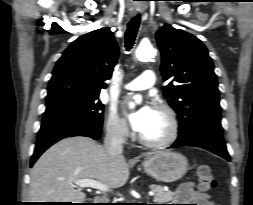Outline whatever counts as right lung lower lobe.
<instances>
[{
    "label": "right lung lower lobe",
    "instance_id": "1",
    "mask_svg": "<svg viewBox=\"0 0 253 205\" xmlns=\"http://www.w3.org/2000/svg\"><path fill=\"white\" fill-rule=\"evenodd\" d=\"M102 133V125L75 121L42 122L37 137V143L30 166H33L39 156L57 141L72 136H86L98 140Z\"/></svg>",
    "mask_w": 253,
    "mask_h": 205
}]
</instances>
